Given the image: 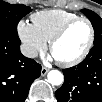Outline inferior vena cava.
<instances>
[{
  "instance_id": "obj_1",
  "label": "inferior vena cava",
  "mask_w": 102,
  "mask_h": 102,
  "mask_svg": "<svg viewBox=\"0 0 102 102\" xmlns=\"http://www.w3.org/2000/svg\"><path fill=\"white\" fill-rule=\"evenodd\" d=\"M21 53L28 58H35L38 55L37 50L34 47L26 44L21 45Z\"/></svg>"
}]
</instances>
